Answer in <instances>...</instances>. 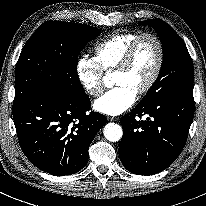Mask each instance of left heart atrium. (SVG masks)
<instances>
[{"label": "left heart atrium", "instance_id": "39dd6f15", "mask_svg": "<svg viewBox=\"0 0 206 206\" xmlns=\"http://www.w3.org/2000/svg\"><path fill=\"white\" fill-rule=\"evenodd\" d=\"M136 100V92L127 86H117L94 101V109L116 116L128 110Z\"/></svg>", "mask_w": 206, "mask_h": 206}]
</instances>
